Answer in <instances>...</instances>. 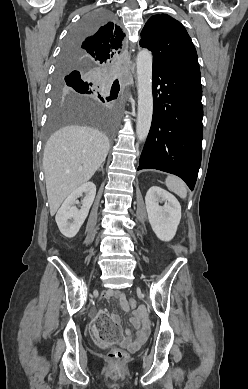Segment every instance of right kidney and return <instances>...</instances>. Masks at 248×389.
<instances>
[{
    "mask_svg": "<svg viewBox=\"0 0 248 389\" xmlns=\"http://www.w3.org/2000/svg\"><path fill=\"white\" fill-rule=\"evenodd\" d=\"M85 193V198L82 200V207L78 210L75 207L77 198ZM96 195V186L92 182L85 183L74 190L63 202L61 208L58 210L55 220L60 232L68 238L74 237L80 230L89 209L92 206Z\"/></svg>",
    "mask_w": 248,
    "mask_h": 389,
    "instance_id": "obj_1",
    "label": "right kidney"
}]
</instances>
